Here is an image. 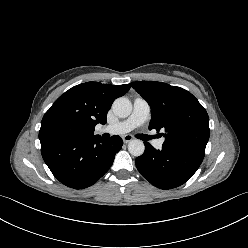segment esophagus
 Returning a JSON list of instances; mask_svg holds the SVG:
<instances>
[{"instance_id": "1", "label": "esophagus", "mask_w": 248, "mask_h": 248, "mask_svg": "<svg viewBox=\"0 0 248 248\" xmlns=\"http://www.w3.org/2000/svg\"><path fill=\"white\" fill-rule=\"evenodd\" d=\"M122 139L124 143H128L133 140V137L131 135H124Z\"/></svg>"}]
</instances>
